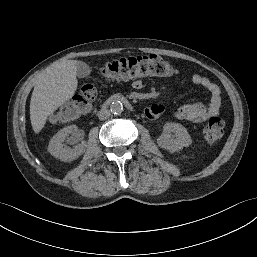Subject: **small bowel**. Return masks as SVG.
Returning a JSON list of instances; mask_svg holds the SVG:
<instances>
[{
    "instance_id": "c3829d8e",
    "label": "small bowel",
    "mask_w": 257,
    "mask_h": 257,
    "mask_svg": "<svg viewBox=\"0 0 257 257\" xmlns=\"http://www.w3.org/2000/svg\"><path fill=\"white\" fill-rule=\"evenodd\" d=\"M177 83H189L206 89L209 93L208 102L188 103L178 107H167L164 105H152L145 110V114L150 119H157L164 113H170L174 117L183 121L203 122L209 117L216 116L221 108V95L219 87L210 79L199 74H191L188 77L177 76ZM134 88H141L142 81L133 82Z\"/></svg>"
}]
</instances>
